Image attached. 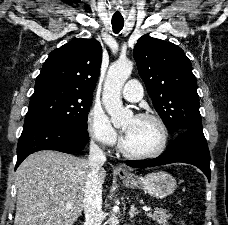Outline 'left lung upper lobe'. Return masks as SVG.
Returning <instances> with one entry per match:
<instances>
[{"label": "left lung upper lobe", "instance_id": "left-lung-upper-lobe-1", "mask_svg": "<svg viewBox=\"0 0 228 225\" xmlns=\"http://www.w3.org/2000/svg\"><path fill=\"white\" fill-rule=\"evenodd\" d=\"M133 56L156 111L170 133L203 131L197 81L177 45L143 35Z\"/></svg>", "mask_w": 228, "mask_h": 225}]
</instances>
